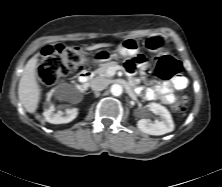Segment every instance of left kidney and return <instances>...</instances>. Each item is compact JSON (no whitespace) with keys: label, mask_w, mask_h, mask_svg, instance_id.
<instances>
[{"label":"left kidney","mask_w":222,"mask_h":187,"mask_svg":"<svg viewBox=\"0 0 222 187\" xmlns=\"http://www.w3.org/2000/svg\"><path fill=\"white\" fill-rule=\"evenodd\" d=\"M150 111L160 116V119H156L152 122L150 119H140L137 122V127L144 133L150 135H163L174 130V123L170 112L162 105L158 103H150L148 105Z\"/></svg>","instance_id":"obj_1"}]
</instances>
